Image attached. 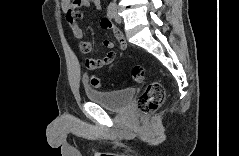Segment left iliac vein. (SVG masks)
Returning <instances> with one entry per match:
<instances>
[{"instance_id":"left-iliac-vein-1","label":"left iliac vein","mask_w":239,"mask_h":156,"mask_svg":"<svg viewBox=\"0 0 239 156\" xmlns=\"http://www.w3.org/2000/svg\"><path fill=\"white\" fill-rule=\"evenodd\" d=\"M115 21L117 22V23H121V17L118 15V8L116 7V9H115Z\"/></svg>"}]
</instances>
